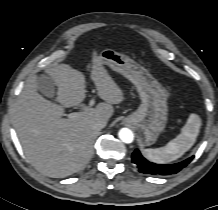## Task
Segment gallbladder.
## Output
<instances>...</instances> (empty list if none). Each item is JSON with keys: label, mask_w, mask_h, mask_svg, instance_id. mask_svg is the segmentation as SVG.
I'll return each mask as SVG.
<instances>
[{"label": "gallbladder", "mask_w": 218, "mask_h": 210, "mask_svg": "<svg viewBox=\"0 0 218 210\" xmlns=\"http://www.w3.org/2000/svg\"><path fill=\"white\" fill-rule=\"evenodd\" d=\"M37 89L46 97L54 98L56 88L54 80L47 74H40L37 78Z\"/></svg>", "instance_id": "gallbladder-1"}]
</instances>
